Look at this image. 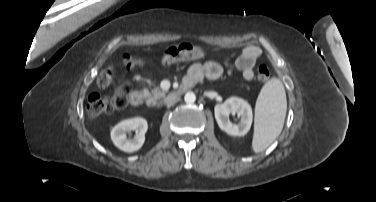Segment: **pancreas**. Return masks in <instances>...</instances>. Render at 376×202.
Listing matches in <instances>:
<instances>
[{"label": "pancreas", "mask_w": 376, "mask_h": 202, "mask_svg": "<svg viewBox=\"0 0 376 202\" xmlns=\"http://www.w3.org/2000/svg\"><path fill=\"white\" fill-rule=\"evenodd\" d=\"M165 97V91L161 90L159 87H156L152 90L151 93L147 94V102L149 104H156L157 101Z\"/></svg>", "instance_id": "pancreas-1"}]
</instances>
